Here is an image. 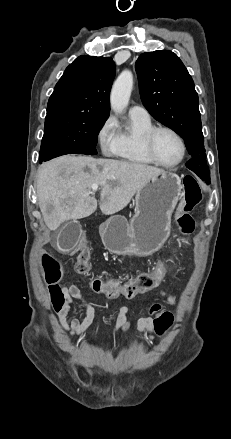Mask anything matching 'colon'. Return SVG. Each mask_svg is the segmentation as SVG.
<instances>
[{
	"label": "colon",
	"instance_id": "1",
	"mask_svg": "<svg viewBox=\"0 0 231 439\" xmlns=\"http://www.w3.org/2000/svg\"><path fill=\"white\" fill-rule=\"evenodd\" d=\"M184 196L181 199L176 215V223L179 230L189 235L194 231V219L190 212L200 203L202 199L201 188L192 176H186L183 182ZM88 238L85 235L80 236L78 246L82 250L79 252L75 271L78 274H87L90 270V250L86 248ZM42 257L45 276L49 285L51 293L52 304L47 306L49 313H61L64 307V295L62 294V287L59 282L63 276V269L58 260L50 256V251L47 248L42 249ZM170 263L159 260L153 262L146 270H140L139 275L134 279L122 282L117 279H103L94 278L90 280V289L99 294H104L109 298L124 296L125 298H136L137 295H154L157 292V287L163 289L162 284L166 276V268H170ZM173 323V315L170 312L164 311L156 315L153 321V328L157 335L165 334Z\"/></svg>",
	"mask_w": 231,
	"mask_h": 439
}]
</instances>
